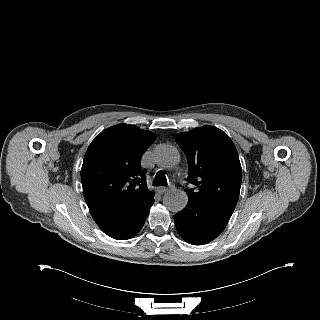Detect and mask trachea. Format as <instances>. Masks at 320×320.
<instances>
[{
    "mask_svg": "<svg viewBox=\"0 0 320 320\" xmlns=\"http://www.w3.org/2000/svg\"><path fill=\"white\" fill-rule=\"evenodd\" d=\"M154 186H166L167 179L163 172H158L153 181Z\"/></svg>",
    "mask_w": 320,
    "mask_h": 320,
    "instance_id": "1",
    "label": "trachea"
}]
</instances>
